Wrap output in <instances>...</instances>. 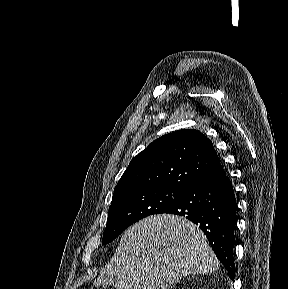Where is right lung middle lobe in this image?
Returning <instances> with one entry per match:
<instances>
[{"label":"right lung middle lobe","instance_id":"right-lung-middle-lobe-1","mask_svg":"<svg viewBox=\"0 0 288 289\" xmlns=\"http://www.w3.org/2000/svg\"><path fill=\"white\" fill-rule=\"evenodd\" d=\"M185 189L173 187L142 188L113 195L103 244L106 245L136 221L153 214L165 213L183 196Z\"/></svg>","mask_w":288,"mask_h":289}]
</instances>
